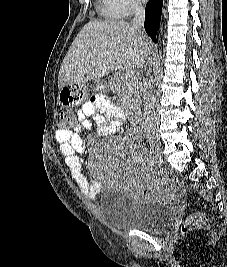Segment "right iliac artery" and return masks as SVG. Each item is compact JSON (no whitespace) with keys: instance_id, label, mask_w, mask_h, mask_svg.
Returning <instances> with one entry per match:
<instances>
[{"instance_id":"82829eb1","label":"right iliac artery","mask_w":227,"mask_h":267,"mask_svg":"<svg viewBox=\"0 0 227 267\" xmlns=\"http://www.w3.org/2000/svg\"><path fill=\"white\" fill-rule=\"evenodd\" d=\"M148 153H149L150 156H154L155 155V151L153 149H151V148L149 149Z\"/></svg>"}]
</instances>
